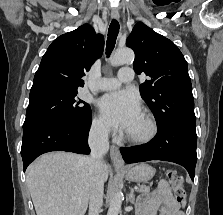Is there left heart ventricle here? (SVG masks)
Masks as SVG:
<instances>
[{"instance_id":"b2bd125f","label":"left heart ventricle","mask_w":223,"mask_h":215,"mask_svg":"<svg viewBox=\"0 0 223 215\" xmlns=\"http://www.w3.org/2000/svg\"><path fill=\"white\" fill-rule=\"evenodd\" d=\"M147 131V124L143 117L141 116V113L139 116L135 119L133 124L126 130L127 133L134 134V135H142Z\"/></svg>"}]
</instances>
